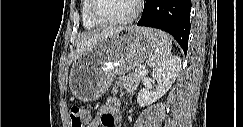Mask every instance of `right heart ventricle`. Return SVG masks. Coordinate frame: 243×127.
I'll return each instance as SVG.
<instances>
[{
	"mask_svg": "<svg viewBox=\"0 0 243 127\" xmlns=\"http://www.w3.org/2000/svg\"><path fill=\"white\" fill-rule=\"evenodd\" d=\"M91 0H83L81 2L80 10L82 16L83 26L87 29L97 28L99 25L95 23L90 16Z\"/></svg>",
	"mask_w": 243,
	"mask_h": 127,
	"instance_id": "obj_1",
	"label": "right heart ventricle"
}]
</instances>
